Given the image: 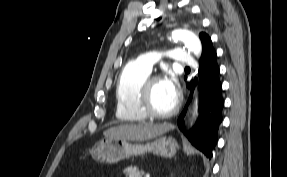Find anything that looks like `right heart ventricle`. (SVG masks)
I'll return each mask as SVG.
<instances>
[{
	"label": "right heart ventricle",
	"mask_w": 287,
	"mask_h": 177,
	"mask_svg": "<svg viewBox=\"0 0 287 177\" xmlns=\"http://www.w3.org/2000/svg\"><path fill=\"white\" fill-rule=\"evenodd\" d=\"M150 72L136 63L126 65L115 86V115L122 123H138L146 116L138 107L140 89Z\"/></svg>",
	"instance_id": "e07e8e85"
}]
</instances>
